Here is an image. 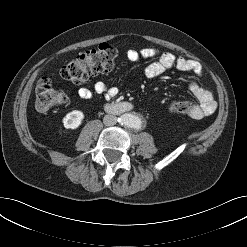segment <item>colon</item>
Returning <instances> with one entry per match:
<instances>
[{
  "mask_svg": "<svg viewBox=\"0 0 247 247\" xmlns=\"http://www.w3.org/2000/svg\"><path fill=\"white\" fill-rule=\"evenodd\" d=\"M118 51L109 45H100L78 55L61 69L62 78L75 84H82L89 77L113 70L118 58ZM36 108L46 111L64 104L67 100L65 93L56 90L50 79L41 78L36 86ZM195 106L191 101H172L169 111L173 114H192Z\"/></svg>",
  "mask_w": 247,
  "mask_h": 247,
  "instance_id": "obj_1",
  "label": "colon"
}]
</instances>
